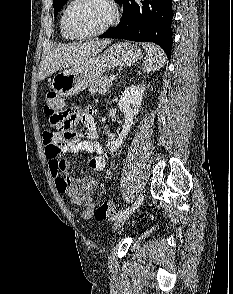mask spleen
<instances>
[{
	"instance_id": "spleen-1",
	"label": "spleen",
	"mask_w": 233,
	"mask_h": 294,
	"mask_svg": "<svg viewBox=\"0 0 233 294\" xmlns=\"http://www.w3.org/2000/svg\"><path fill=\"white\" fill-rule=\"evenodd\" d=\"M142 47L146 50V60L142 65L144 72L159 70L164 66L166 58L161 48L153 43H142Z\"/></svg>"
}]
</instances>
